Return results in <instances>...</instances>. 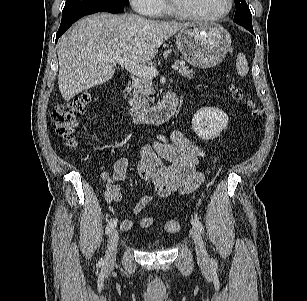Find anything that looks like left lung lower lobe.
Segmentation results:
<instances>
[{
    "mask_svg": "<svg viewBox=\"0 0 307 301\" xmlns=\"http://www.w3.org/2000/svg\"><path fill=\"white\" fill-rule=\"evenodd\" d=\"M247 30H249L251 33L254 34L253 28L252 27H245Z\"/></svg>",
    "mask_w": 307,
    "mask_h": 301,
    "instance_id": "1",
    "label": "left lung lower lobe"
}]
</instances>
